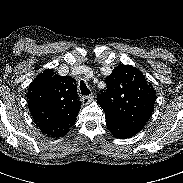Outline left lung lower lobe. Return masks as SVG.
<instances>
[{"instance_id":"1","label":"left lung lower lobe","mask_w":183,"mask_h":183,"mask_svg":"<svg viewBox=\"0 0 183 183\" xmlns=\"http://www.w3.org/2000/svg\"><path fill=\"white\" fill-rule=\"evenodd\" d=\"M108 130L117 138L125 139L137 134L142 128L140 126H131L121 124L113 120L106 119Z\"/></svg>"}]
</instances>
